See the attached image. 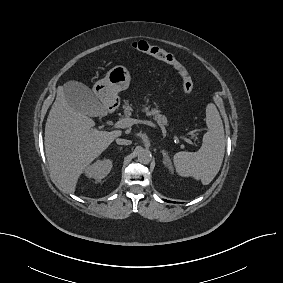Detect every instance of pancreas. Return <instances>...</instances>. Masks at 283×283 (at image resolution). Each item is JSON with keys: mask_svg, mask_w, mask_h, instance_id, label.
Segmentation results:
<instances>
[{"mask_svg": "<svg viewBox=\"0 0 283 283\" xmlns=\"http://www.w3.org/2000/svg\"><path fill=\"white\" fill-rule=\"evenodd\" d=\"M124 110V118H128L131 116L133 111V105L129 102H125L123 105ZM142 111L146 113L147 116H153L154 120L159 124V126L164 127L168 124L167 118L165 115H162L158 107L149 109V106H144Z\"/></svg>", "mask_w": 283, "mask_h": 283, "instance_id": "1", "label": "pancreas"}]
</instances>
